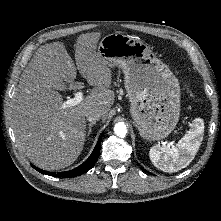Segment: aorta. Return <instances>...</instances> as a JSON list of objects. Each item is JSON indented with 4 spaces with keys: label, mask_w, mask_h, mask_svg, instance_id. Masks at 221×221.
I'll return each mask as SVG.
<instances>
[{
    "label": "aorta",
    "mask_w": 221,
    "mask_h": 221,
    "mask_svg": "<svg viewBox=\"0 0 221 221\" xmlns=\"http://www.w3.org/2000/svg\"><path fill=\"white\" fill-rule=\"evenodd\" d=\"M114 132L119 137H125L127 134V127H126L125 123L119 122V123L115 124Z\"/></svg>",
    "instance_id": "1"
}]
</instances>
